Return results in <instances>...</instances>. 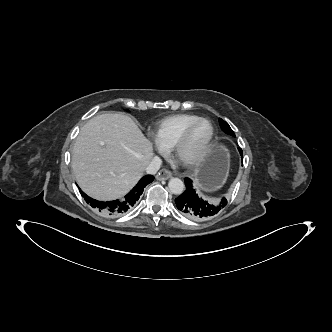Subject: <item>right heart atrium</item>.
I'll use <instances>...</instances> for the list:
<instances>
[{
	"instance_id": "obj_1",
	"label": "right heart atrium",
	"mask_w": 332,
	"mask_h": 332,
	"mask_svg": "<svg viewBox=\"0 0 332 332\" xmlns=\"http://www.w3.org/2000/svg\"><path fill=\"white\" fill-rule=\"evenodd\" d=\"M153 146L156 149V151L159 152L160 154L166 153V149L162 147L156 140L153 142Z\"/></svg>"
}]
</instances>
